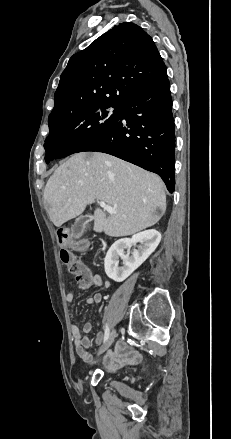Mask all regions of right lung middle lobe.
Instances as JSON below:
<instances>
[{"instance_id": "obj_1", "label": "right lung middle lobe", "mask_w": 231, "mask_h": 439, "mask_svg": "<svg viewBox=\"0 0 231 439\" xmlns=\"http://www.w3.org/2000/svg\"><path fill=\"white\" fill-rule=\"evenodd\" d=\"M106 108H87L49 120L50 133L44 144L46 163L84 151L111 130L117 123L120 109H114L109 117Z\"/></svg>"}]
</instances>
